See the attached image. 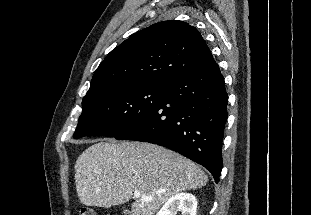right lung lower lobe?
I'll return each instance as SVG.
<instances>
[{"label": "right lung lower lobe", "instance_id": "98d812e1", "mask_svg": "<svg viewBox=\"0 0 311 215\" xmlns=\"http://www.w3.org/2000/svg\"><path fill=\"white\" fill-rule=\"evenodd\" d=\"M163 100L118 140L167 147L204 166L217 183L222 170V141L228 95L216 62L163 84Z\"/></svg>", "mask_w": 311, "mask_h": 215}]
</instances>
